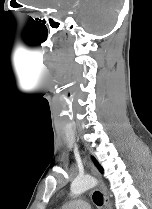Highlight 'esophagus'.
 <instances>
[{
  "label": "esophagus",
  "instance_id": "obj_1",
  "mask_svg": "<svg viewBox=\"0 0 152 209\" xmlns=\"http://www.w3.org/2000/svg\"><path fill=\"white\" fill-rule=\"evenodd\" d=\"M90 171L91 173L96 176L99 180H100V176H99V173L97 172V170L95 169V167L90 163ZM99 187L102 191V194H103V198H104V209H111L110 208V204H109V201H108V197L106 195V192H105V189H104V186L102 184V182L100 181V184H99Z\"/></svg>",
  "mask_w": 152,
  "mask_h": 209
}]
</instances>
